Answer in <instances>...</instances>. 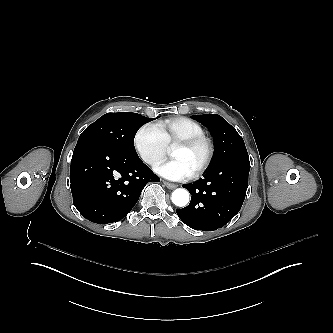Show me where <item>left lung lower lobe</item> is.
Returning <instances> with one entry per match:
<instances>
[{"instance_id": "0a47b994", "label": "left lung lower lobe", "mask_w": 333, "mask_h": 333, "mask_svg": "<svg viewBox=\"0 0 333 333\" xmlns=\"http://www.w3.org/2000/svg\"><path fill=\"white\" fill-rule=\"evenodd\" d=\"M248 155L229 158L210 168L198 181L183 185L191 193L190 204L177 215L195 230L214 231L227 224L241 209L248 188Z\"/></svg>"}]
</instances>
